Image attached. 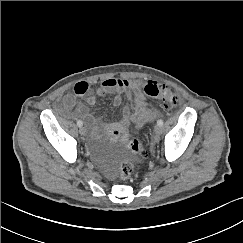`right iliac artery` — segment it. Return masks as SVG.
I'll list each match as a JSON object with an SVG mask.
<instances>
[{"label":"right iliac artery","mask_w":243,"mask_h":243,"mask_svg":"<svg viewBox=\"0 0 243 243\" xmlns=\"http://www.w3.org/2000/svg\"><path fill=\"white\" fill-rule=\"evenodd\" d=\"M77 125L79 126V127H81L82 125H83V122L82 121H77Z\"/></svg>","instance_id":"obj_1"}]
</instances>
